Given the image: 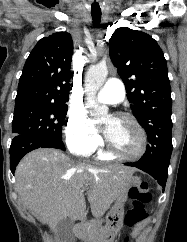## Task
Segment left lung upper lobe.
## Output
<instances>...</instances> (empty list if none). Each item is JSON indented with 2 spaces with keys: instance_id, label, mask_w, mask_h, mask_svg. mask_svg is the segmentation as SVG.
I'll list each match as a JSON object with an SVG mask.
<instances>
[{
  "instance_id": "left-lung-upper-lobe-1",
  "label": "left lung upper lobe",
  "mask_w": 187,
  "mask_h": 242,
  "mask_svg": "<svg viewBox=\"0 0 187 242\" xmlns=\"http://www.w3.org/2000/svg\"><path fill=\"white\" fill-rule=\"evenodd\" d=\"M110 58L123 80L130 107L148 135L141 160L170 159L171 88L166 59L148 34L121 27L109 41Z\"/></svg>"
}]
</instances>
